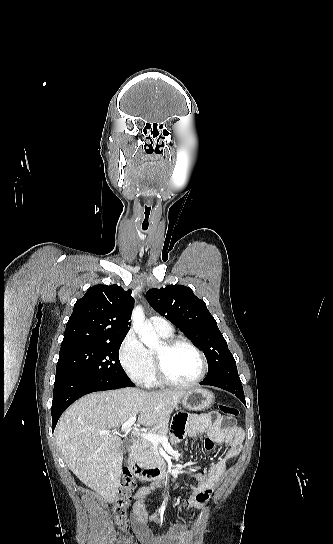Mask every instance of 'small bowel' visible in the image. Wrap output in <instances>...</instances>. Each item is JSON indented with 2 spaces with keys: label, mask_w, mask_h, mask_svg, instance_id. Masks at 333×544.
Returning <instances> with one entry per match:
<instances>
[{
  "label": "small bowel",
  "mask_w": 333,
  "mask_h": 544,
  "mask_svg": "<svg viewBox=\"0 0 333 544\" xmlns=\"http://www.w3.org/2000/svg\"><path fill=\"white\" fill-rule=\"evenodd\" d=\"M228 422V425H225ZM207 434L204 448L212 450L215 444H228L227 450L219 460L212 463L206 473L194 475L195 484L192 486V495L183 502L184 508H202L221 478L228 462L238 456L243 441V431L232 419H225L219 413L189 415L177 418L172 427V443L177 444L186 435L198 436ZM159 486L153 483L151 487H144L136 495L132 508L131 524L134 533L142 544H189L190 534L182 525L172 526L166 533L154 537L147 527V514L144 510V498L152 489Z\"/></svg>",
  "instance_id": "small-bowel-1"
}]
</instances>
